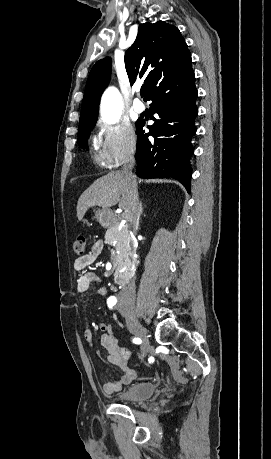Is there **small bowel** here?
<instances>
[{
    "label": "small bowel",
    "mask_w": 271,
    "mask_h": 459,
    "mask_svg": "<svg viewBox=\"0 0 271 459\" xmlns=\"http://www.w3.org/2000/svg\"><path fill=\"white\" fill-rule=\"evenodd\" d=\"M103 249V242L97 241L91 250L77 258L74 262L76 271H83L86 267L95 262ZM100 278L94 272H82L77 279V291L80 293L87 292L92 283L99 282ZM99 295H105L106 289L100 287L97 290ZM99 329L103 332L101 336V345L107 351L106 360L111 365H116L122 371V375L112 382H106L102 386L103 393L111 395L121 390L129 384L135 377V372L128 365V357H124L120 351L117 337L109 331V325L106 322L98 324ZM84 339L89 345H93V334L90 329L84 331Z\"/></svg>",
    "instance_id": "obj_1"
}]
</instances>
